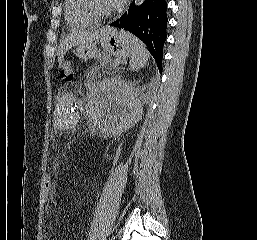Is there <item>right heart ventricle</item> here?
Returning a JSON list of instances; mask_svg holds the SVG:
<instances>
[{
    "mask_svg": "<svg viewBox=\"0 0 257 240\" xmlns=\"http://www.w3.org/2000/svg\"><path fill=\"white\" fill-rule=\"evenodd\" d=\"M64 15L66 26L71 31L86 30L96 25L81 11L79 0H65Z\"/></svg>",
    "mask_w": 257,
    "mask_h": 240,
    "instance_id": "e07e8e85",
    "label": "right heart ventricle"
}]
</instances>
